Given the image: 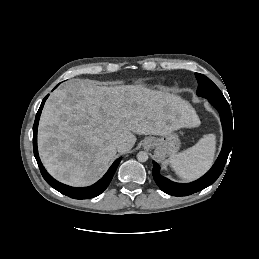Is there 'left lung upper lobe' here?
Segmentation results:
<instances>
[{"mask_svg":"<svg viewBox=\"0 0 259 259\" xmlns=\"http://www.w3.org/2000/svg\"><path fill=\"white\" fill-rule=\"evenodd\" d=\"M195 76L199 84L197 89L198 96L212 99L224 98L219 88L209 78L200 73H195Z\"/></svg>","mask_w":259,"mask_h":259,"instance_id":"obj_1","label":"left lung upper lobe"}]
</instances>
